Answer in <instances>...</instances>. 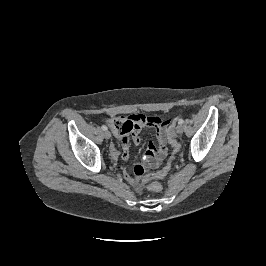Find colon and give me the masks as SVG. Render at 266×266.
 Returning a JSON list of instances; mask_svg holds the SVG:
<instances>
[{
	"instance_id": "1",
	"label": "colon",
	"mask_w": 266,
	"mask_h": 266,
	"mask_svg": "<svg viewBox=\"0 0 266 266\" xmlns=\"http://www.w3.org/2000/svg\"><path fill=\"white\" fill-rule=\"evenodd\" d=\"M167 140L172 148V156L170 157L166 165L160 171L148 173L143 178V182L147 184V189L152 192L162 191V185L156 180L162 179L167 175V173L169 172L171 168L174 155L178 152L180 148L179 143L176 140L172 125L169 126V128L167 129Z\"/></svg>"
}]
</instances>
